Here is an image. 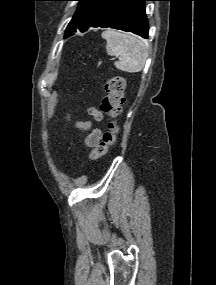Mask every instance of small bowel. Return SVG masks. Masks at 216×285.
Listing matches in <instances>:
<instances>
[{
  "label": "small bowel",
  "instance_id": "small-bowel-1",
  "mask_svg": "<svg viewBox=\"0 0 216 285\" xmlns=\"http://www.w3.org/2000/svg\"><path fill=\"white\" fill-rule=\"evenodd\" d=\"M90 113L94 115L96 118L100 119L101 114L96 111L95 109H90ZM80 127L82 129H88L89 124L88 123H81ZM101 139V132L99 130H93L86 138L85 142L89 146H94L96 145Z\"/></svg>",
  "mask_w": 216,
  "mask_h": 285
}]
</instances>
